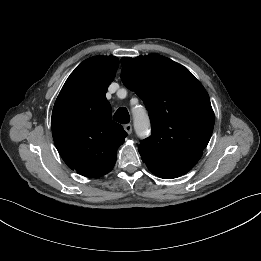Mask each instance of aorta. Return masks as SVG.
I'll return each mask as SVG.
<instances>
[{
    "instance_id": "aorta-1",
    "label": "aorta",
    "mask_w": 261,
    "mask_h": 261,
    "mask_svg": "<svg viewBox=\"0 0 261 261\" xmlns=\"http://www.w3.org/2000/svg\"><path fill=\"white\" fill-rule=\"evenodd\" d=\"M135 130L141 138L146 137L149 132V119L146 114L137 115L134 118Z\"/></svg>"
}]
</instances>
